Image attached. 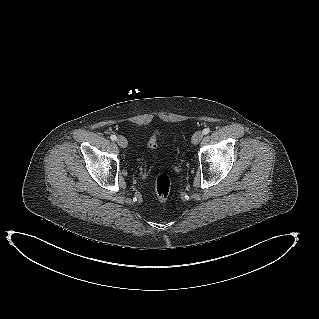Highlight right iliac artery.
<instances>
[{"label": "right iliac artery", "instance_id": "obj_1", "mask_svg": "<svg viewBox=\"0 0 319 319\" xmlns=\"http://www.w3.org/2000/svg\"><path fill=\"white\" fill-rule=\"evenodd\" d=\"M110 138H111L112 141H116L117 140L116 135H111Z\"/></svg>", "mask_w": 319, "mask_h": 319}]
</instances>
